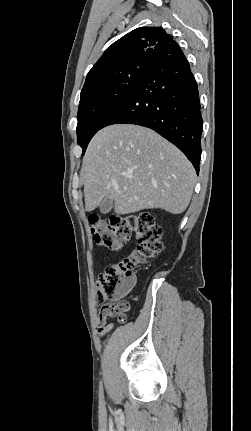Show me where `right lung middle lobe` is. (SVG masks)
I'll list each match as a JSON object with an SVG mask.
<instances>
[{"label":"right lung middle lobe","mask_w":251,"mask_h":431,"mask_svg":"<svg viewBox=\"0 0 251 431\" xmlns=\"http://www.w3.org/2000/svg\"><path fill=\"white\" fill-rule=\"evenodd\" d=\"M146 68L147 62L131 63L82 89L77 116V140L82 155L94 134L136 88Z\"/></svg>","instance_id":"1"}]
</instances>
